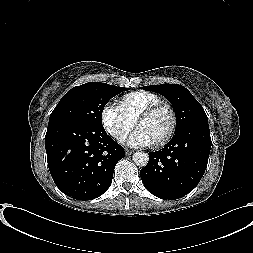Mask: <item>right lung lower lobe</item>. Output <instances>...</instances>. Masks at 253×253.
Here are the masks:
<instances>
[{
    "label": "right lung lower lobe",
    "instance_id": "98d812e1",
    "mask_svg": "<svg viewBox=\"0 0 253 253\" xmlns=\"http://www.w3.org/2000/svg\"><path fill=\"white\" fill-rule=\"evenodd\" d=\"M45 148L55 184L77 200H92L105 193L116 163L125 155L104 128L78 121L48 125Z\"/></svg>",
    "mask_w": 253,
    "mask_h": 253
}]
</instances>
